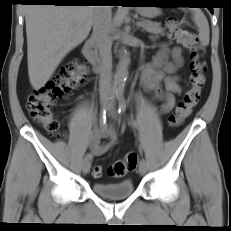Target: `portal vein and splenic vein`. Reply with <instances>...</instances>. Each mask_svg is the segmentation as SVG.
Instances as JSON below:
<instances>
[{
  "mask_svg": "<svg viewBox=\"0 0 231 231\" xmlns=\"http://www.w3.org/2000/svg\"><path fill=\"white\" fill-rule=\"evenodd\" d=\"M138 26H142V23H141V22H139V23H138Z\"/></svg>",
  "mask_w": 231,
  "mask_h": 231,
  "instance_id": "18ae733b",
  "label": "portal vein and splenic vein"
}]
</instances>
